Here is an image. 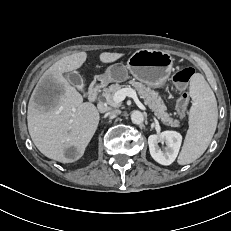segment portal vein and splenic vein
Segmentation results:
<instances>
[{
	"label": "portal vein and splenic vein",
	"mask_w": 231,
	"mask_h": 231,
	"mask_svg": "<svg viewBox=\"0 0 231 231\" xmlns=\"http://www.w3.org/2000/svg\"><path fill=\"white\" fill-rule=\"evenodd\" d=\"M126 97H130L134 100H137V93L134 89L132 88H123L121 90H118L117 92H115L114 96H113V100L116 103H120L122 102Z\"/></svg>",
	"instance_id": "1"
}]
</instances>
